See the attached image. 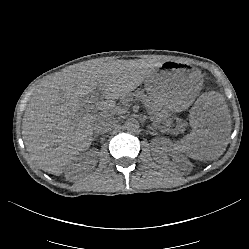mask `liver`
<instances>
[{
  "instance_id": "6515ba94",
  "label": "liver",
  "mask_w": 249,
  "mask_h": 249,
  "mask_svg": "<svg viewBox=\"0 0 249 249\" xmlns=\"http://www.w3.org/2000/svg\"><path fill=\"white\" fill-rule=\"evenodd\" d=\"M151 75L148 67L71 66L44 79L34 87L22 120L23 140L33 164L56 176L66 168L72 172L79 169L71 162L90 147L92 125L116 108L117 99L126 97ZM96 89L105 100L97 104V111L86 112L88 102L96 98ZM160 96L158 92L150 93V98L164 111L181 112L189 106L184 102L174 107L166 105ZM189 123L192 131L172 144L173 155L182 151L205 161L224 153L231 118L222 95L214 91L202 94L190 110Z\"/></svg>"
}]
</instances>
